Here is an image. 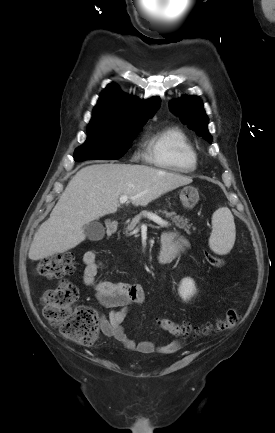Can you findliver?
Segmentation results:
<instances>
[{
	"label": "liver",
	"instance_id": "1",
	"mask_svg": "<svg viewBox=\"0 0 275 433\" xmlns=\"http://www.w3.org/2000/svg\"><path fill=\"white\" fill-rule=\"evenodd\" d=\"M192 178L146 165L96 164L70 180L50 217L34 235L28 256L37 261L64 253L85 240L84 226L115 213L122 195L146 206Z\"/></svg>",
	"mask_w": 275,
	"mask_h": 433
}]
</instances>
